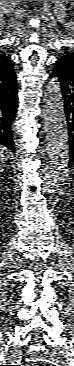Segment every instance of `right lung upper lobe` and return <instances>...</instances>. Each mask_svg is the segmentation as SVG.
Segmentation results:
<instances>
[{"mask_svg":"<svg viewBox=\"0 0 74 366\" xmlns=\"http://www.w3.org/2000/svg\"><path fill=\"white\" fill-rule=\"evenodd\" d=\"M14 77L13 61L10 57L0 52V84L9 83Z\"/></svg>","mask_w":74,"mask_h":366,"instance_id":"cb5924a9","label":"right lung upper lobe"}]
</instances>
